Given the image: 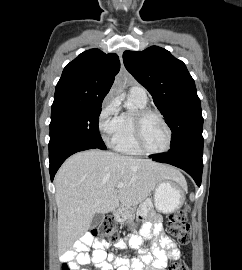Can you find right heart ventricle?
I'll return each mask as SVG.
<instances>
[{
    "instance_id": "obj_1",
    "label": "right heart ventricle",
    "mask_w": 242,
    "mask_h": 270,
    "mask_svg": "<svg viewBox=\"0 0 242 270\" xmlns=\"http://www.w3.org/2000/svg\"><path fill=\"white\" fill-rule=\"evenodd\" d=\"M134 106L133 111H125L119 116V126L115 132L112 144L116 151L129 154L140 155L142 152L138 149L134 139L133 119L137 111L146 109V102L138 101L129 96Z\"/></svg>"
}]
</instances>
